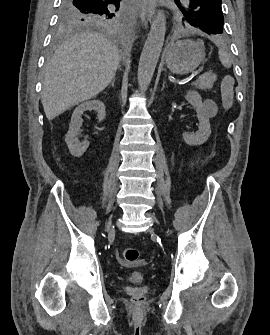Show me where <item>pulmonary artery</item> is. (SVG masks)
<instances>
[{"instance_id": "e3ab8cb5", "label": "pulmonary artery", "mask_w": 270, "mask_h": 335, "mask_svg": "<svg viewBox=\"0 0 270 335\" xmlns=\"http://www.w3.org/2000/svg\"><path fill=\"white\" fill-rule=\"evenodd\" d=\"M183 2H184L185 4H188L189 0H183Z\"/></svg>"}]
</instances>
